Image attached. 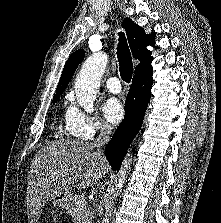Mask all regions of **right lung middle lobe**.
Segmentation results:
<instances>
[{"mask_svg":"<svg viewBox=\"0 0 221 223\" xmlns=\"http://www.w3.org/2000/svg\"><path fill=\"white\" fill-rule=\"evenodd\" d=\"M58 99H59V98H55V99H53V101H52V102H53V103H55V102H57V101H58Z\"/></svg>","mask_w":221,"mask_h":223,"instance_id":"right-lung-middle-lobe-1","label":"right lung middle lobe"}]
</instances>
